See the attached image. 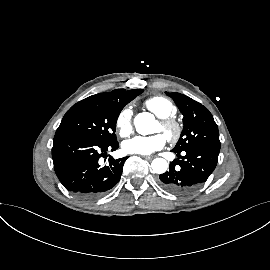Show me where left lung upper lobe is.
<instances>
[{
    "mask_svg": "<svg viewBox=\"0 0 270 270\" xmlns=\"http://www.w3.org/2000/svg\"><path fill=\"white\" fill-rule=\"evenodd\" d=\"M183 114V131L176 151L204 148L220 151L219 132L212 114L199 102L180 93H168Z\"/></svg>",
    "mask_w": 270,
    "mask_h": 270,
    "instance_id": "left-lung-upper-lobe-1",
    "label": "left lung upper lobe"
}]
</instances>
